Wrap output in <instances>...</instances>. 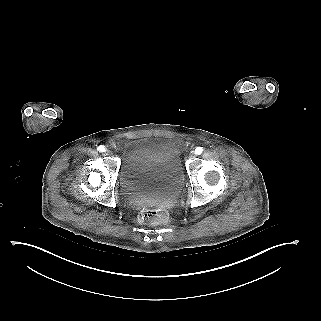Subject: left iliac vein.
Wrapping results in <instances>:
<instances>
[{
    "mask_svg": "<svg viewBox=\"0 0 321 321\" xmlns=\"http://www.w3.org/2000/svg\"><path fill=\"white\" fill-rule=\"evenodd\" d=\"M189 157H190L191 159H194V158L196 157V154H195L194 152H191L190 155H189Z\"/></svg>",
    "mask_w": 321,
    "mask_h": 321,
    "instance_id": "obj_1",
    "label": "left iliac vein"
}]
</instances>
